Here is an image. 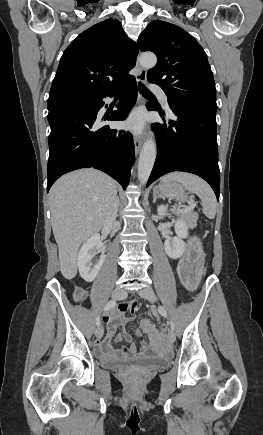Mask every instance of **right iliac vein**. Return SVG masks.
Wrapping results in <instances>:
<instances>
[{
    "mask_svg": "<svg viewBox=\"0 0 263 435\" xmlns=\"http://www.w3.org/2000/svg\"><path fill=\"white\" fill-rule=\"evenodd\" d=\"M127 296V292L122 289V288H116L112 291L111 297L112 299L116 300V299H123ZM104 330L102 326H99L96 330H95V335L97 338H101L103 336Z\"/></svg>",
    "mask_w": 263,
    "mask_h": 435,
    "instance_id": "63e3f726",
    "label": "right iliac vein"
}]
</instances>
